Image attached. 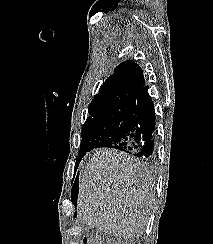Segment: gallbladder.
Listing matches in <instances>:
<instances>
[{"mask_svg":"<svg viewBox=\"0 0 213 244\" xmlns=\"http://www.w3.org/2000/svg\"><path fill=\"white\" fill-rule=\"evenodd\" d=\"M80 225L82 226L83 231H85L86 233L91 232V229L86 225V223L83 220L80 221Z\"/></svg>","mask_w":213,"mask_h":244,"instance_id":"obj_1","label":"gallbladder"}]
</instances>
